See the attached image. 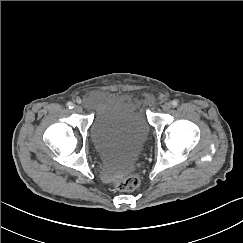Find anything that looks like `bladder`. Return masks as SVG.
<instances>
[{
    "mask_svg": "<svg viewBox=\"0 0 243 243\" xmlns=\"http://www.w3.org/2000/svg\"><path fill=\"white\" fill-rule=\"evenodd\" d=\"M89 136L97 153L123 174L134 166L143 152L148 130L136 104L117 97L94 114Z\"/></svg>",
    "mask_w": 243,
    "mask_h": 243,
    "instance_id": "bladder-1",
    "label": "bladder"
}]
</instances>
